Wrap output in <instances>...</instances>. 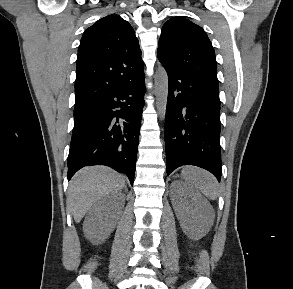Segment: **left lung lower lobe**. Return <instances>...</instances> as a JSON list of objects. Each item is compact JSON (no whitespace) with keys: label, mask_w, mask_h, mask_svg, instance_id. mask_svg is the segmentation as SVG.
I'll return each instance as SVG.
<instances>
[{"label":"left lung lower lobe","mask_w":293,"mask_h":289,"mask_svg":"<svg viewBox=\"0 0 293 289\" xmlns=\"http://www.w3.org/2000/svg\"><path fill=\"white\" fill-rule=\"evenodd\" d=\"M169 90L165 121L167 174L195 165L221 178L218 82L167 70Z\"/></svg>","instance_id":"0a47b994"}]
</instances>
